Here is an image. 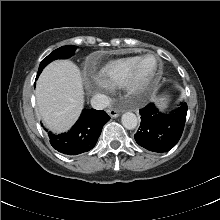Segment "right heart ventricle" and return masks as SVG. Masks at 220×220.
I'll use <instances>...</instances> for the list:
<instances>
[{"label":"right heart ventricle","instance_id":"right-heart-ventricle-1","mask_svg":"<svg viewBox=\"0 0 220 220\" xmlns=\"http://www.w3.org/2000/svg\"><path fill=\"white\" fill-rule=\"evenodd\" d=\"M139 58L131 56L110 61L98 69L97 76L109 86L123 87Z\"/></svg>","mask_w":220,"mask_h":220}]
</instances>
